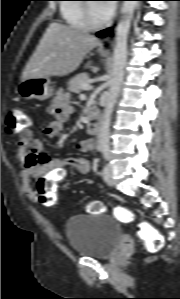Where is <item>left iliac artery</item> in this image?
I'll use <instances>...</instances> for the list:
<instances>
[{
    "instance_id": "obj_1",
    "label": "left iliac artery",
    "mask_w": 180,
    "mask_h": 299,
    "mask_svg": "<svg viewBox=\"0 0 180 299\" xmlns=\"http://www.w3.org/2000/svg\"><path fill=\"white\" fill-rule=\"evenodd\" d=\"M109 154H110L109 149H105V150H104V157H105L106 160L109 159Z\"/></svg>"
}]
</instances>
